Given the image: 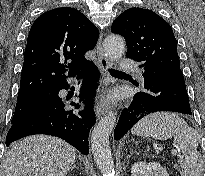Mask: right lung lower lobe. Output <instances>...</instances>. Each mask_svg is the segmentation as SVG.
<instances>
[{"label":"right lung lower lobe","mask_w":205,"mask_h":176,"mask_svg":"<svg viewBox=\"0 0 205 176\" xmlns=\"http://www.w3.org/2000/svg\"><path fill=\"white\" fill-rule=\"evenodd\" d=\"M97 75L98 70L92 62L78 74V77L83 78L79 97L85 100L86 104L81 112L77 114L73 110L64 109L65 100L61 99L58 93L61 89L68 88L65 81L12 124L6 137V146L25 136L48 134L67 141L82 154L87 155L89 131L96 122L92 97L95 94ZM70 104L79 107L74 102Z\"/></svg>","instance_id":"98d812e1"}]
</instances>
